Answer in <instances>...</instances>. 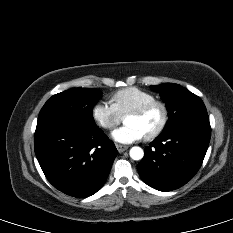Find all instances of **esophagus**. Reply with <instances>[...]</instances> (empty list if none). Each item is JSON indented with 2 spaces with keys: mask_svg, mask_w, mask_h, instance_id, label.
<instances>
[{
  "mask_svg": "<svg viewBox=\"0 0 233 233\" xmlns=\"http://www.w3.org/2000/svg\"><path fill=\"white\" fill-rule=\"evenodd\" d=\"M116 148H117L119 153H122V152H124L125 150L128 149V146L121 145V144H116Z\"/></svg>",
  "mask_w": 233,
  "mask_h": 233,
  "instance_id": "34e87169",
  "label": "esophagus"
}]
</instances>
